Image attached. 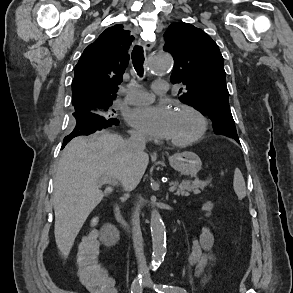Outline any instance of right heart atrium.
Listing matches in <instances>:
<instances>
[{"mask_svg":"<svg viewBox=\"0 0 293 293\" xmlns=\"http://www.w3.org/2000/svg\"><path fill=\"white\" fill-rule=\"evenodd\" d=\"M131 134H132L134 137H137V138H143V137H144L143 134H141L140 132L135 131V130H132V131H131Z\"/></svg>","mask_w":293,"mask_h":293,"instance_id":"obj_1","label":"right heart atrium"}]
</instances>
